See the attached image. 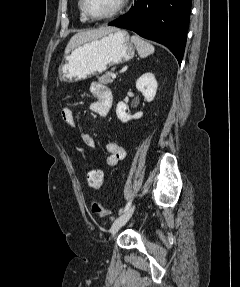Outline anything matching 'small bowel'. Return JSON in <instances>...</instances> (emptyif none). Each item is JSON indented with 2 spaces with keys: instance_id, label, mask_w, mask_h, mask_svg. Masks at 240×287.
Segmentation results:
<instances>
[{
  "instance_id": "obj_1",
  "label": "small bowel",
  "mask_w": 240,
  "mask_h": 287,
  "mask_svg": "<svg viewBox=\"0 0 240 287\" xmlns=\"http://www.w3.org/2000/svg\"><path fill=\"white\" fill-rule=\"evenodd\" d=\"M90 92L95 97V101L91 103L90 110L99 116H107L112 104L113 96L111 90L101 82H93L90 85ZM61 119L71 127H77L78 122L74 112L68 107H62L60 111ZM83 144L93 148L95 146L94 138L86 131L80 133ZM107 156L105 158L106 165L116 166L126 156L125 149L118 143L107 142L105 144Z\"/></svg>"
}]
</instances>
